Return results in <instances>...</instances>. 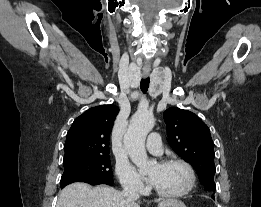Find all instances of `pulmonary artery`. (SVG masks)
I'll return each mask as SVG.
<instances>
[{"mask_svg": "<svg viewBox=\"0 0 261 207\" xmlns=\"http://www.w3.org/2000/svg\"><path fill=\"white\" fill-rule=\"evenodd\" d=\"M147 150L155 155L162 154V144L159 134L151 133L146 142Z\"/></svg>", "mask_w": 261, "mask_h": 207, "instance_id": "e3ab8cb5", "label": "pulmonary artery"}]
</instances>
